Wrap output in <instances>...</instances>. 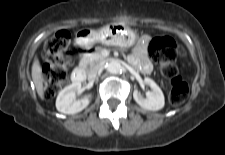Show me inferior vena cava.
<instances>
[{"label": "inferior vena cava", "instance_id": "1", "mask_svg": "<svg viewBox=\"0 0 225 155\" xmlns=\"http://www.w3.org/2000/svg\"><path fill=\"white\" fill-rule=\"evenodd\" d=\"M103 65L102 64H96L88 70V79H95L96 76L102 71Z\"/></svg>", "mask_w": 225, "mask_h": 155}]
</instances>
